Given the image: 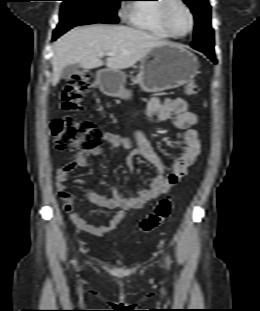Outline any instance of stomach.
Masks as SVG:
<instances>
[{
    "label": "stomach",
    "mask_w": 260,
    "mask_h": 311,
    "mask_svg": "<svg viewBox=\"0 0 260 311\" xmlns=\"http://www.w3.org/2000/svg\"><path fill=\"white\" fill-rule=\"evenodd\" d=\"M199 73L197 57L182 45L167 43L152 48L141 59L139 80L142 90L159 92L177 88ZM125 74L119 70L103 69L97 73L100 90L112 97L127 98Z\"/></svg>",
    "instance_id": "stomach-1"
}]
</instances>
